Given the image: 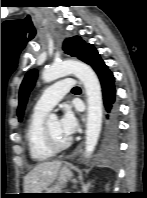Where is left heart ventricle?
<instances>
[{
  "label": "left heart ventricle",
  "instance_id": "1",
  "mask_svg": "<svg viewBox=\"0 0 147 198\" xmlns=\"http://www.w3.org/2000/svg\"><path fill=\"white\" fill-rule=\"evenodd\" d=\"M48 131L50 133V136L52 140L57 144V145H63L65 144L68 139L63 136L59 129V122L58 121H51L47 124Z\"/></svg>",
  "mask_w": 147,
  "mask_h": 198
}]
</instances>
